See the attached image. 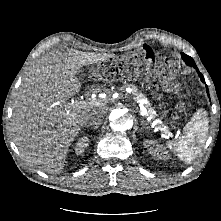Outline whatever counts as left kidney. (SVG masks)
<instances>
[{"label": "left kidney", "instance_id": "left-kidney-1", "mask_svg": "<svg viewBox=\"0 0 221 221\" xmlns=\"http://www.w3.org/2000/svg\"><path fill=\"white\" fill-rule=\"evenodd\" d=\"M144 146L148 148V152L151 154V156L157 159L167 160L169 158V155L165 148L162 145L157 144L153 140H145Z\"/></svg>", "mask_w": 221, "mask_h": 221}]
</instances>
